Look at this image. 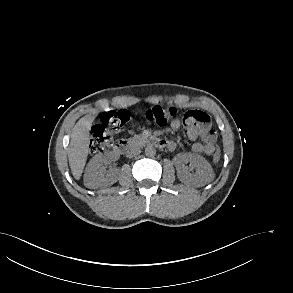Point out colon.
<instances>
[{"label": "colon", "mask_w": 293, "mask_h": 293, "mask_svg": "<svg viewBox=\"0 0 293 293\" xmlns=\"http://www.w3.org/2000/svg\"><path fill=\"white\" fill-rule=\"evenodd\" d=\"M176 113L173 107L153 106L144 112V117L150 123L163 126ZM208 116V115H207ZM199 115L196 111H188L184 115V122L198 121ZM127 113L123 110L105 112L98 124L91 129L89 149L92 153H98L108 148L113 141V133L119 131L121 125L126 121ZM221 158V150L217 148L213 155V162L217 163Z\"/></svg>", "instance_id": "obj_1"}]
</instances>
